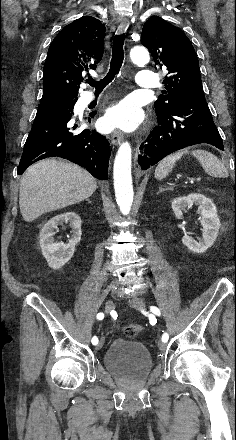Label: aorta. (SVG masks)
<instances>
[{
	"label": "aorta",
	"instance_id": "1",
	"mask_svg": "<svg viewBox=\"0 0 236 440\" xmlns=\"http://www.w3.org/2000/svg\"><path fill=\"white\" fill-rule=\"evenodd\" d=\"M130 58L137 65L149 62V52L145 47L135 46L130 51ZM132 150L128 142L122 143L114 161V189L117 204L123 215L130 213L134 192L131 177Z\"/></svg>",
	"mask_w": 236,
	"mask_h": 440
}]
</instances>
